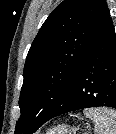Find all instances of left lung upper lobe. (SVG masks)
Returning a JSON list of instances; mask_svg holds the SVG:
<instances>
[{
  "mask_svg": "<svg viewBox=\"0 0 116 134\" xmlns=\"http://www.w3.org/2000/svg\"><path fill=\"white\" fill-rule=\"evenodd\" d=\"M110 12L105 0H64L35 37L24 67L15 133H34L73 92L75 79Z\"/></svg>",
  "mask_w": 116,
  "mask_h": 134,
  "instance_id": "5c2ea615",
  "label": "left lung upper lobe"
}]
</instances>
